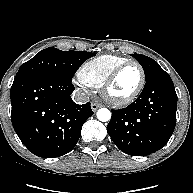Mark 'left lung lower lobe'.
Listing matches in <instances>:
<instances>
[{
	"label": "left lung lower lobe",
	"instance_id": "0a47b994",
	"mask_svg": "<svg viewBox=\"0 0 193 193\" xmlns=\"http://www.w3.org/2000/svg\"><path fill=\"white\" fill-rule=\"evenodd\" d=\"M177 95L163 69L146 79L140 96L128 107L111 110L107 131L115 145L132 156H146L161 149L176 123Z\"/></svg>",
	"mask_w": 193,
	"mask_h": 193
}]
</instances>
